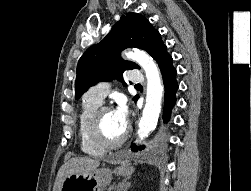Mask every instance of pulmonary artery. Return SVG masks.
Here are the masks:
<instances>
[{
	"label": "pulmonary artery",
	"instance_id": "1",
	"mask_svg": "<svg viewBox=\"0 0 251 191\" xmlns=\"http://www.w3.org/2000/svg\"><path fill=\"white\" fill-rule=\"evenodd\" d=\"M139 68H131V73H129V78H131L132 82H144V77H142V73H139ZM111 85L107 82H101L97 84L95 89L91 92L90 97L102 101L103 98L110 91ZM88 98L89 96H85Z\"/></svg>",
	"mask_w": 251,
	"mask_h": 191
}]
</instances>
